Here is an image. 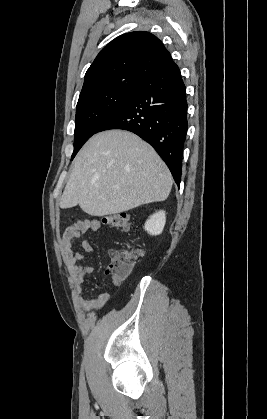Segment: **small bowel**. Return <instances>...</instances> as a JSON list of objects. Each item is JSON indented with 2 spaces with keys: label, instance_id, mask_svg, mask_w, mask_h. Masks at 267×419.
I'll return each mask as SVG.
<instances>
[{
  "label": "small bowel",
  "instance_id": "c3829d8e",
  "mask_svg": "<svg viewBox=\"0 0 267 419\" xmlns=\"http://www.w3.org/2000/svg\"><path fill=\"white\" fill-rule=\"evenodd\" d=\"M100 228L101 223L98 220H77L64 230L60 240L63 261L67 267L69 279L75 291L76 300L84 311L100 310L109 300L108 292L97 294L88 299L82 296L83 284L86 277L93 272V267L84 263V255L82 253L74 250L75 243L79 241L85 233L90 231L97 232ZM80 247L85 253L92 251V246L88 241H81ZM104 249L110 255L113 252L107 247ZM111 280L114 286H119L122 283L123 278L111 277Z\"/></svg>",
  "mask_w": 267,
  "mask_h": 419
}]
</instances>
